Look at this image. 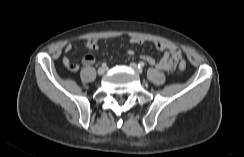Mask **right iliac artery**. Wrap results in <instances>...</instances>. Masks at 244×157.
<instances>
[{
  "mask_svg": "<svg viewBox=\"0 0 244 157\" xmlns=\"http://www.w3.org/2000/svg\"><path fill=\"white\" fill-rule=\"evenodd\" d=\"M102 67H106V63L104 62V63H102Z\"/></svg>",
  "mask_w": 244,
  "mask_h": 157,
  "instance_id": "1",
  "label": "right iliac artery"
}]
</instances>
